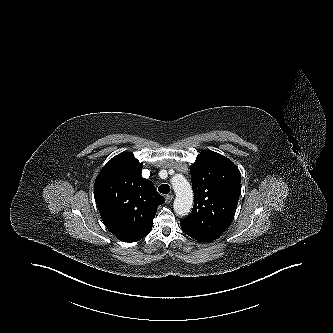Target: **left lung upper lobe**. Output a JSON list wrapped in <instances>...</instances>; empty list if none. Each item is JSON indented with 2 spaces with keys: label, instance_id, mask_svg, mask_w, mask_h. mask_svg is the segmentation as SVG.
<instances>
[{
  "label": "left lung upper lobe",
  "instance_id": "5c2ea615",
  "mask_svg": "<svg viewBox=\"0 0 333 333\" xmlns=\"http://www.w3.org/2000/svg\"><path fill=\"white\" fill-rule=\"evenodd\" d=\"M190 172L194 207L180 225L217 239L235 215L241 193L240 171L228 158L205 150L190 166Z\"/></svg>",
  "mask_w": 333,
  "mask_h": 333
}]
</instances>
